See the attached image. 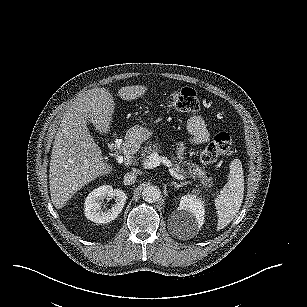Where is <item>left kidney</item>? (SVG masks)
Listing matches in <instances>:
<instances>
[{"instance_id": "1", "label": "left kidney", "mask_w": 307, "mask_h": 307, "mask_svg": "<svg viewBox=\"0 0 307 307\" xmlns=\"http://www.w3.org/2000/svg\"><path fill=\"white\" fill-rule=\"evenodd\" d=\"M172 215L179 220L174 226L176 234L184 238L195 236L204 224V201L195 194L184 195Z\"/></svg>"}]
</instances>
